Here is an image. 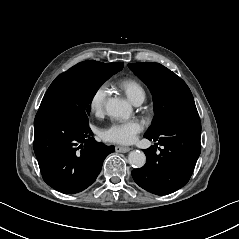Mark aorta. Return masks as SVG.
<instances>
[{"label":"aorta","instance_id":"aorta-1","mask_svg":"<svg viewBox=\"0 0 239 239\" xmlns=\"http://www.w3.org/2000/svg\"><path fill=\"white\" fill-rule=\"evenodd\" d=\"M106 111L109 116L119 119H129L132 115V105L126 100L119 98H109L106 102ZM129 162L137 167H143L146 162V156L141 151H131L128 156Z\"/></svg>","mask_w":239,"mask_h":239}]
</instances>
